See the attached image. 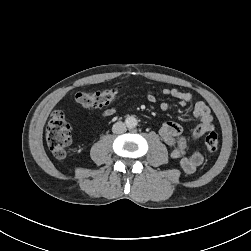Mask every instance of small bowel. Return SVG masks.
Wrapping results in <instances>:
<instances>
[{"label": "small bowel", "mask_w": 251, "mask_h": 251, "mask_svg": "<svg viewBox=\"0 0 251 251\" xmlns=\"http://www.w3.org/2000/svg\"><path fill=\"white\" fill-rule=\"evenodd\" d=\"M161 96H170L184 106L194 101V96L191 92L182 91L176 88H165L160 92ZM119 98V97H118ZM147 100L155 103L158 96L155 92L149 90L147 92ZM170 104L166 101L160 103V109L164 112L168 111ZM115 107L107 108L103 111L104 118L114 115ZM193 114L199 119V123L193 129L191 134L192 141H198L206 132L214 129L213 116L210 108L203 101H197L194 105ZM159 134L164 142L170 148V157L176 161L182 170L188 174H192L203 163V155L199 151H194L189 156L186 155V142L182 136V128L175 122H165L159 129Z\"/></svg>", "instance_id": "c3829d8e"}]
</instances>
